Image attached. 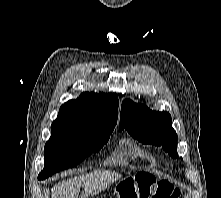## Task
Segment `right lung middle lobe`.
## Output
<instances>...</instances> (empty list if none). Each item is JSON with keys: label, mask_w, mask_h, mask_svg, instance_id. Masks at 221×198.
<instances>
[{"label": "right lung middle lobe", "mask_w": 221, "mask_h": 198, "mask_svg": "<svg viewBox=\"0 0 221 198\" xmlns=\"http://www.w3.org/2000/svg\"><path fill=\"white\" fill-rule=\"evenodd\" d=\"M112 131L111 128H104L90 134H51L44 147L45 164L38 179L44 180L56 172L74 167L98 152L108 142Z\"/></svg>", "instance_id": "obj_1"}]
</instances>
